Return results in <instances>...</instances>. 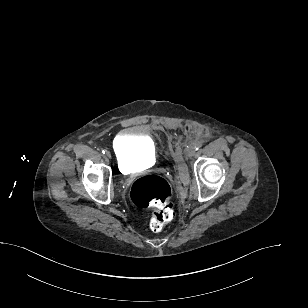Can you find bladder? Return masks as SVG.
I'll list each match as a JSON object with an SVG mask.
<instances>
[{"label": "bladder", "instance_id": "31cf9c89", "mask_svg": "<svg viewBox=\"0 0 308 308\" xmlns=\"http://www.w3.org/2000/svg\"><path fill=\"white\" fill-rule=\"evenodd\" d=\"M113 151L123 170L150 164L157 157L153 139L140 127H129L120 132L113 142Z\"/></svg>", "mask_w": 308, "mask_h": 308}]
</instances>
